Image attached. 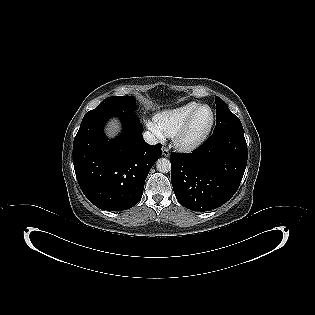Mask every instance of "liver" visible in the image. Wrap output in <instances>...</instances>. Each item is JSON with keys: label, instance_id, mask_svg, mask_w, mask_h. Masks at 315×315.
I'll use <instances>...</instances> for the list:
<instances>
[{"label": "liver", "instance_id": "6515ba94", "mask_svg": "<svg viewBox=\"0 0 315 315\" xmlns=\"http://www.w3.org/2000/svg\"><path fill=\"white\" fill-rule=\"evenodd\" d=\"M118 129V124L116 122H110L109 123V132L113 133L114 131H116Z\"/></svg>", "mask_w": 315, "mask_h": 315}]
</instances>
